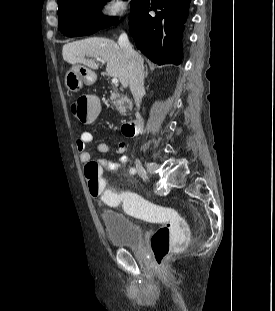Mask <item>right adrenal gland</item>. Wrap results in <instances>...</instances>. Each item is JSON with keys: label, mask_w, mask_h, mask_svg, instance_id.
Returning a JSON list of instances; mask_svg holds the SVG:
<instances>
[{"label": "right adrenal gland", "mask_w": 275, "mask_h": 311, "mask_svg": "<svg viewBox=\"0 0 275 311\" xmlns=\"http://www.w3.org/2000/svg\"><path fill=\"white\" fill-rule=\"evenodd\" d=\"M145 77H146V78L148 77V69H147V67H146V69H145Z\"/></svg>", "instance_id": "1"}]
</instances>
